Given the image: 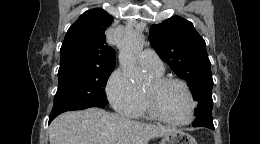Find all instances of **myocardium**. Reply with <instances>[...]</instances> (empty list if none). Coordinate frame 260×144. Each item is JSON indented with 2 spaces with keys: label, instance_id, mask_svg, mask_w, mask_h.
Wrapping results in <instances>:
<instances>
[{
  "label": "myocardium",
  "instance_id": "f54148a6",
  "mask_svg": "<svg viewBox=\"0 0 260 144\" xmlns=\"http://www.w3.org/2000/svg\"><path fill=\"white\" fill-rule=\"evenodd\" d=\"M151 83H152V89L144 90V99H145V103L147 106V111L153 118H155L158 121H161L163 123H167V124H170L173 126H186L193 122L194 117H195L197 103L195 101V98L192 94L191 89L189 88V86L187 85L186 82H184L183 80L177 79V78L160 76V77L153 78ZM171 84H176V85L181 86L184 89V91L186 92V94L190 100V104H191L190 115H189V118L185 121H175V120L167 118L166 116H164L161 113V111L159 110V108L156 104V93L158 91H160L162 88H164L168 85H171Z\"/></svg>",
  "mask_w": 260,
  "mask_h": 144
}]
</instances>
